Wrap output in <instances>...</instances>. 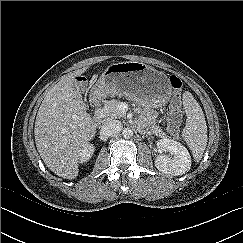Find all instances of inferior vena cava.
<instances>
[{
	"instance_id": "obj_1",
	"label": "inferior vena cava",
	"mask_w": 243,
	"mask_h": 243,
	"mask_svg": "<svg viewBox=\"0 0 243 243\" xmlns=\"http://www.w3.org/2000/svg\"><path fill=\"white\" fill-rule=\"evenodd\" d=\"M122 128L123 126L119 120H111L102 126L101 131L104 135L116 136L121 132Z\"/></svg>"
}]
</instances>
